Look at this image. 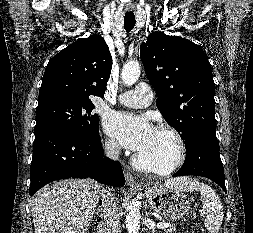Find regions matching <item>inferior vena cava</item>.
Returning <instances> with one entry per match:
<instances>
[{
    "instance_id": "1",
    "label": "inferior vena cava",
    "mask_w": 253,
    "mask_h": 233,
    "mask_svg": "<svg viewBox=\"0 0 253 233\" xmlns=\"http://www.w3.org/2000/svg\"><path fill=\"white\" fill-rule=\"evenodd\" d=\"M105 153L108 157L117 160L120 153V147L117 142L110 141L105 145ZM101 200L103 207L104 222L99 230L104 233H121L120 214L118 212L115 197L109 190H102Z\"/></svg>"
}]
</instances>
